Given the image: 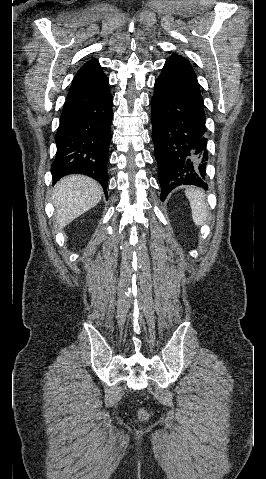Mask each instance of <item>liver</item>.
Listing matches in <instances>:
<instances>
[{
    "label": "liver",
    "mask_w": 266,
    "mask_h": 479,
    "mask_svg": "<svg viewBox=\"0 0 266 479\" xmlns=\"http://www.w3.org/2000/svg\"><path fill=\"white\" fill-rule=\"evenodd\" d=\"M102 197L98 182L83 175H70L54 187L52 202L55 206V225L58 229L96 206Z\"/></svg>",
    "instance_id": "6515ba94"
}]
</instances>
